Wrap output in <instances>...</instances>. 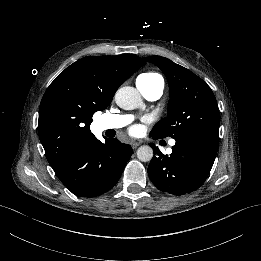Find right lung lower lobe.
I'll return each instance as SVG.
<instances>
[{
    "label": "right lung lower lobe",
    "mask_w": 261,
    "mask_h": 261,
    "mask_svg": "<svg viewBox=\"0 0 261 261\" xmlns=\"http://www.w3.org/2000/svg\"><path fill=\"white\" fill-rule=\"evenodd\" d=\"M95 140L54 169L61 182L78 197H96L119 180L132 155L130 145L117 139Z\"/></svg>",
    "instance_id": "1"
}]
</instances>
